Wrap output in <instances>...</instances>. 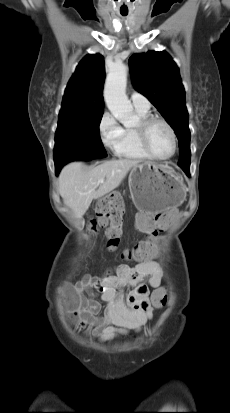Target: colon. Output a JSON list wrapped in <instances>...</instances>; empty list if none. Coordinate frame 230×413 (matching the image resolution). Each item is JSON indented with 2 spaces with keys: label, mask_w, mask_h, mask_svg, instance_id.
I'll return each mask as SVG.
<instances>
[{
  "label": "colon",
  "mask_w": 230,
  "mask_h": 413,
  "mask_svg": "<svg viewBox=\"0 0 230 413\" xmlns=\"http://www.w3.org/2000/svg\"><path fill=\"white\" fill-rule=\"evenodd\" d=\"M103 199L95 209V217L90 221L89 228L96 232L99 228H106L107 248L115 250L123 234V205L125 195L123 192H109L101 195ZM108 198V200H106ZM150 236L155 237L159 231H146ZM157 250L151 242H143L131 249L123 252V257L129 260L143 261L156 256ZM167 296L163 293H155L152 301L155 306L162 307L166 303ZM73 306L69 305V309Z\"/></svg>",
  "instance_id": "obj_1"
}]
</instances>
